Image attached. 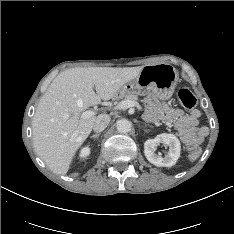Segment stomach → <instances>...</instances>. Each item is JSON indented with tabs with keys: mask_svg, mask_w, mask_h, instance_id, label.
I'll return each mask as SVG.
<instances>
[{
	"mask_svg": "<svg viewBox=\"0 0 234 234\" xmlns=\"http://www.w3.org/2000/svg\"><path fill=\"white\" fill-rule=\"evenodd\" d=\"M178 80L176 70L167 64L143 66L141 72L118 91L120 97L152 92L161 100L171 98Z\"/></svg>",
	"mask_w": 234,
	"mask_h": 234,
	"instance_id": "obj_1",
	"label": "stomach"
}]
</instances>
